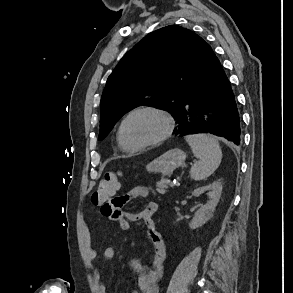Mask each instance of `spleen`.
Masks as SVG:
<instances>
[{
	"label": "spleen",
	"mask_w": 293,
	"mask_h": 293,
	"mask_svg": "<svg viewBox=\"0 0 293 293\" xmlns=\"http://www.w3.org/2000/svg\"><path fill=\"white\" fill-rule=\"evenodd\" d=\"M185 139L195 157L199 158L191 167V177L196 181L209 177L221 163L222 151L219 143L208 134L187 135Z\"/></svg>",
	"instance_id": "obj_1"
}]
</instances>
